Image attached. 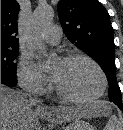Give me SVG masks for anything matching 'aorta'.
<instances>
[{"mask_svg": "<svg viewBox=\"0 0 123 130\" xmlns=\"http://www.w3.org/2000/svg\"><path fill=\"white\" fill-rule=\"evenodd\" d=\"M53 17L54 10L50 6L37 7L32 16L29 44L45 59H48L49 55L43 41V36L47 28L51 25Z\"/></svg>", "mask_w": 123, "mask_h": 130, "instance_id": "obj_1", "label": "aorta"}]
</instances>
